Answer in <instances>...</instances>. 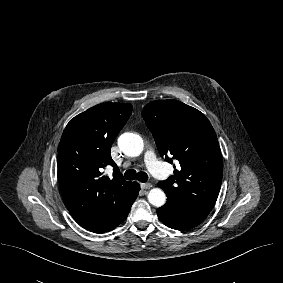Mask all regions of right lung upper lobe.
Listing matches in <instances>:
<instances>
[{"label":"right lung upper lobe","instance_id":"right-lung-upper-lobe-1","mask_svg":"<svg viewBox=\"0 0 283 283\" xmlns=\"http://www.w3.org/2000/svg\"><path fill=\"white\" fill-rule=\"evenodd\" d=\"M132 112L127 103L99 104L74 117L58 148L63 201L84 228L98 232L114 223L133 201L138 183L126 181L111 158L112 143ZM113 167V178L103 175Z\"/></svg>","mask_w":283,"mask_h":283}]
</instances>
